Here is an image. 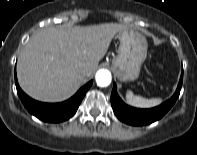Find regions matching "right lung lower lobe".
Here are the masks:
<instances>
[{"mask_svg":"<svg viewBox=\"0 0 197 155\" xmlns=\"http://www.w3.org/2000/svg\"><path fill=\"white\" fill-rule=\"evenodd\" d=\"M92 83V81L88 82L75 95L64 102L42 103L33 100L21 90L15 75L17 93L25 108L38 119L51 123L63 122L71 118L76 113Z\"/></svg>","mask_w":197,"mask_h":155,"instance_id":"98d812e1","label":"right lung lower lobe"}]
</instances>
